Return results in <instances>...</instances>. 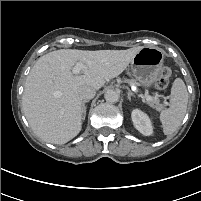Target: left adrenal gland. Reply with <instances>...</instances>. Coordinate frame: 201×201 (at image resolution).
I'll return each instance as SVG.
<instances>
[{
  "instance_id": "left-adrenal-gland-1",
  "label": "left adrenal gland",
  "mask_w": 201,
  "mask_h": 201,
  "mask_svg": "<svg viewBox=\"0 0 201 201\" xmlns=\"http://www.w3.org/2000/svg\"><path fill=\"white\" fill-rule=\"evenodd\" d=\"M133 96V93L128 89V100L131 101V97Z\"/></svg>"
}]
</instances>
